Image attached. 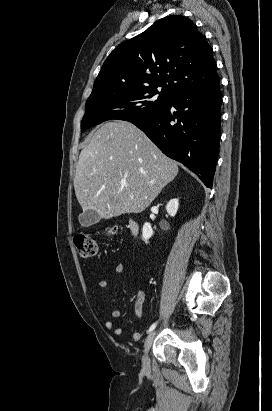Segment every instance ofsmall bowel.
Wrapping results in <instances>:
<instances>
[{
	"instance_id": "c3829d8e",
	"label": "small bowel",
	"mask_w": 272,
	"mask_h": 411,
	"mask_svg": "<svg viewBox=\"0 0 272 411\" xmlns=\"http://www.w3.org/2000/svg\"><path fill=\"white\" fill-rule=\"evenodd\" d=\"M126 270L125 266L123 264H118L115 267V273L116 274H122ZM99 286L101 289L106 290L109 287V282L107 280H101L99 282ZM106 298L103 297V301H105ZM134 312L136 316L141 319L143 316V297H139L135 304H134ZM110 316L112 319H120L122 317V313L119 310H112L110 313ZM106 328L111 331L113 334L120 336L123 333V329L119 327L113 320H108L105 323ZM132 339L133 341H139L141 339V333L138 331L133 332L132 334Z\"/></svg>"
}]
</instances>
